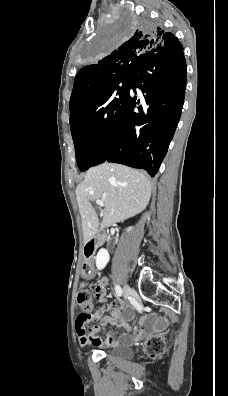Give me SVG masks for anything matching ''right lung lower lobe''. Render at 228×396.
Returning a JSON list of instances; mask_svg holds the SVG:
<instances>
[{
    "label": "right lung lower lobe",
    "mask_w": 228,
    "mask_h": 396,
    "mask_svg": "<svg viewBox=\"0 0 228 396\" xmlns=\"http://www.w3.org/2000/svg\"><path fill=\"white\" fill-rule=\"evenodd\" d=\"M186 87V62L182 45L162 47L144 57L130 79L140 98L130 95L113 125L108 162L144 169L154 177L177 127Z\"/></svg>",
    "instance_id": "obj_1"
}]
</instances>
